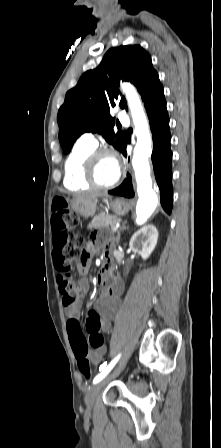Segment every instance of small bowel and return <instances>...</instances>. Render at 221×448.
Here are the masks:
<instances>
[{
	"instance_id": "1",
	"label": "small bowel",
	"mask_w": 221,
	"mask_h": 448,
	"mask_svg": "<svg viewBox=\"0 0 221 448\" xmlns=\"http://www.w3.org/2000/svg\"><path fill=\"white\" fill-rule=\"evenodd\" d=\"M61 217H62V212L58 211L54 208L53 213H52V220L54 218H61ZM51 225H52V221H51ZM52 231H53V237H54L55 231L53 229V226H52ZM102 244H103V240L100 237H98L97 235L92 236L88 240V245L92 249V251H96ZM53 248H54V241H53ZM104 268L105 269L103 272L106 275L107 283L102 285L100 296L96 302V309L98 311V315L100 318V330L106 332V331H109V329L111 327V322L116 318L117 310L121 307L120 294L122 292V283L116 278L115 272L110 268L109 265H106ZM80 270H81V274H82L81 283L84 286H87V282L85 279V274L87 271L86 265H81ZM109 277L111 278L110 283H108ZM66 314L70 320L71 319L77 320L80 315V307L78 305H75L72 308H68L66 310ZM79 336L81 339L86 340V337L82 332L79 334ZM69 340H70V344H71L73 353L75 355V350L72 345L70 334H69ZM105 352H106L105 345H103L100 348L92 349L89 353V358H90L91 362L94 365L99 364L101 362V360L103 359Z\"/></svg>"
}]
</instances>
